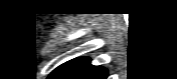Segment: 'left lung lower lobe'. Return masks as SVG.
<instances>
[{"instance_id":"1","label":"left lung lower lobe","mask_w":177,"mask_h":79,"mask_svg":"<svg viewBox=\"0 0 177 79\" xmlns=\"http://www.w3.org/2000/svg\"><path fill=\"white\" fill-rule=\"evenodd\" d=\"M106 76V70L90 65L88 58H77L58 67L49 79H105Z\"/></svg>"}]
</instances>
